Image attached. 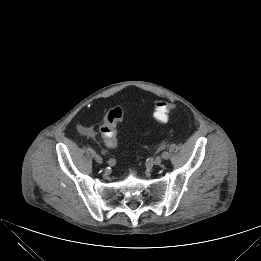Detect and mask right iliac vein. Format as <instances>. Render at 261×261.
Instances as JSON below:
<instances>
[{"label":"right iliac vein","instance_id":"obj_1","mask_svg":"<svg viewBox=\"0 0 261 261\" xmlns=\"http://www.w3.org/2000/svg\"><path fill=\"white\" fill-rule=\"evenodd\" d=\"M94 160L98 164H103V159H102V157L100 155H95L94 156Z\"/></svg>","mask_w":261,"mask_h":261}]
</instances>
